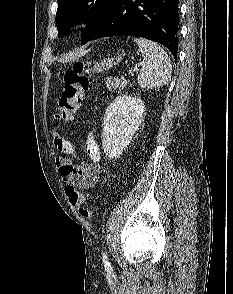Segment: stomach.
<instances>
[{
    "label": "stomach",
    "mask_w": 233,
    "mask_h": 294,
    "mask_svg": "<svg viewBox=\"0 0 233 294\" xmlns=\"http://www.w3.org/2000/svg\"><path fill=\"white\" fill-rule=\"evenodd\" d=\"M122 56L119 55L115 58H107L101 61L100 63H97L92 69H90L91 72L99 73L104 70H109L113 67V65H116L117 63L122 61Z\"/></svg>",
    "instance_id": "0dacf381"
}]
</instances>
